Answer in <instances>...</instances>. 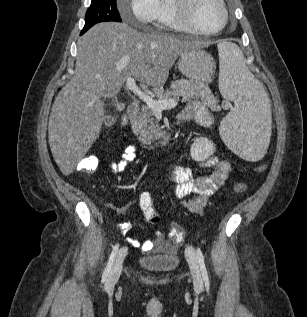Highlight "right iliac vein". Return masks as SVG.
I'll list each match as a JSON object with an SVG mask.
<instances>
[{
    "label": "right iliac vein",
    "mask_w": 307,
    "mask_h": 317,
    "mask_svg": "<svg viewBox=\"0 0 307 317\" xmlns=\"http://www.w3.org/2000/svg\"><path fill=\"white\" fill-rule=\"evenodd\" d=\"M126 252H127V250L125 248L119 252L118 257L116 259V262H115V264H114V266L109 274V277L107 280L108 285L112 286L118 281V279L121 275V272H122L123 261H124V257L126 255Z\"/></svg>",
    "instance_id": "obj_1"
}]
</instances>
